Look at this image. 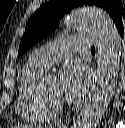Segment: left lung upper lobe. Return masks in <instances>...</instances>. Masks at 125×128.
Segmentation results:
<instances>
[{"label":"left lung upper lobe","instance_id":"obj_1","mask_svg":"<svg viewBox=\"0 0 125 128\" xmlns=\"http://www.w3.org/2000/svg\"><path fill=\"white\" fill-rule=\"evenodd\" d=\"M83 5H95L103 8L116 23V26L122 23L124 9L121 0H52L43 4L30 18L20 43L18 57L53 32L64 13Z\"/></svg>","mask_w":125,"mask_h":128}]
</instances>
